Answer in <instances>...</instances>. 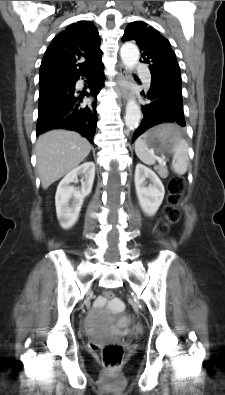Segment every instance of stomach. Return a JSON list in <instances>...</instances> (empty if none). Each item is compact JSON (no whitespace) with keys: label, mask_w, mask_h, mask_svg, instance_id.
<instances>
[{"label":"stomach","mask_w":225,"mask_h":395,"mask_svg":"<svg viewBox=\"0 0 225 395\" xmlns=\"http://www.w3.org/2000/svg\"><path fill=\"white\" fill-rule=\"evenodd\" d=\"M146 135L147 146L153 151H165L173 148L178 139L181 138V132L174 124L156 126L149 130Z\"/></svg>","instance_id":"1"}]
</instances>
